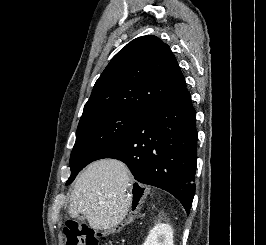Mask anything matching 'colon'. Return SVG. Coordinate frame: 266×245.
<instances>
[{"mask_svg": "<svg viewBox=\"0 0 266 245\" xmlns=\"http://www.w3.org/2000/svg\"><path fill=\"white\" fill-rule=\"evenodd\" d=\"M66 245H101L102 233H96L91 227L82 226L75 220H69L63 228Z\"/></svg>", "mask_w": 266, "mask_h": 245, "instance_id": "colon-1", "label": "colon"}]
</instances>
